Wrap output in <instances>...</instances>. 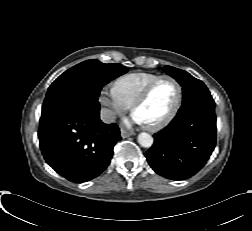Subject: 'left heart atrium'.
Masks as SVG:
<instances>
[{
	"label": "left heart atrium",
	"mask_w": 252,
	"mask_h": 231,
	"mask_svg": "<svg viewBox=\"0 0 252 231\" xmlns=\"http://www.w3.org/2000/svg\"><path fill=\"white\" fill-rule=\"evenodd\" d=\"M132 122L138 125H145L144 122L136 114L132 116Z\"/></svg>",
	"instance_id": "39dd6f15"
}]
</instances>
